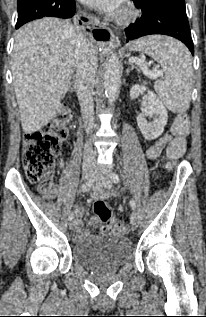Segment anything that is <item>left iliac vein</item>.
Wrapping results in <instances>:
<instances>
[{
    "mask_svg": "<svg viewBox=\"0 0 206 317\" xmlns=\"http://www.w3.org/2000/svg\"><path fill=\"white\" fill-rule=\"evenodd\" d=\"M95 182L97 185L109 189L112 186L111 179L108 176L99 174L98 170H96ZM130 224L133 229H136L138 226V217L135 213H133L130 217Z\"/></svg>",
    "mask_w": 206,
    "mask_h": 317,
    "instance_id": "left-iliac-vein-1",
    "label": "left iliac vein"
}]
</instances>
